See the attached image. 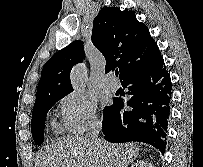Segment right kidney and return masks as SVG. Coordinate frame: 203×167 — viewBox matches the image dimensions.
<instances>
[{"label":"right kidney","instance_id":"1","mask_svg":"<svg viewBox=\"0 0 203 167\" xmlns=\"http://www.w3.org/2000/svg\"><path fill=\"white\" fill-rule=\"evenodd\" d=\"M132 167H154L151 162L148 161H139L135 163Z\"/></svg>","mask_w":203,"mask_h":167}]
</instances>
